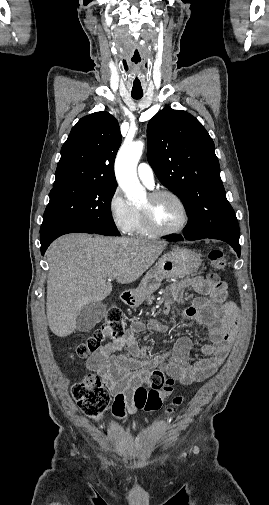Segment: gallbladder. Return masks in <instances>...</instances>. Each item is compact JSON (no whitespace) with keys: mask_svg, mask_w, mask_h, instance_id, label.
<instances>
[{"mask_svg":"<svg viewBox=\"0 0 269 505\" xmlns=\"http://www.w3.org/2000/svg\"><path fill=\"white\" fill-rule=\"evenodd\" d=\"M106 314V306L102 302H92L84 306L76 320V328L80 332H88L99 323Z\"/></svg>","mask_w":269,"mask_h":505,"instance_id":"1","label":"gallbladder"}]
</instances>
